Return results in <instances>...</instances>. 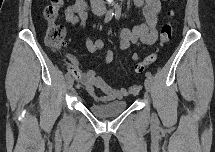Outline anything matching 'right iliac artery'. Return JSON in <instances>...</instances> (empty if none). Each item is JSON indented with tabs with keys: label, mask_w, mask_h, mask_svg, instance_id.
<instances>
[{
	"label": "right iliac artery",
	"mask_w": 215,
	"mask_h": 152,
	"mask_svg": "<svg viewBox=\"0 0 215 152\" xmlns=\"http://www.w3.org/2000/svg\"><path fill=\"white\" fill-rule=\"evenodd\" d=\"M113 15H114V11L112 9L109 10L107 12L106 16H105L104 23H108L112 19ZM65 76H66V78H69L70 77V73L69 72L66 73Z\"/></svg>",
	"instance_id": "1"
}]
</instances>
